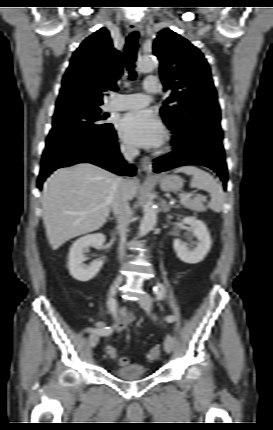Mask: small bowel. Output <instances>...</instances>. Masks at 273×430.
<instances>
[{"label":"small bowel","instance_id":"obj_1","mask_svg":"<svg viewBox=\"0 0 273 430\" xmlns=\"http://www.w3.org/2000/svg\"><path fill=\"white\" fill-rule=\"evenodd\" d=\"M153 319L156 321L157 320L156 316H154ZM128 323H129V316L125 312H122L120 314L119 318L111 326L112 327V332L115 331L118 334H122L124 332V330H125V328H126V326H127ZM96 326H97L96 328L87 327V328H85V331L86 332H92V330H94V329H102V328H104V323L103 322H98ZM112 332L110 334H108L107 337H110V335L112 334Z\"/></svg>","mask_w":273,"mask_h":430}]
</instances>
